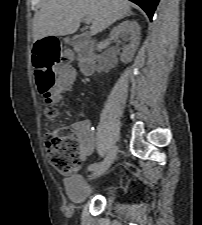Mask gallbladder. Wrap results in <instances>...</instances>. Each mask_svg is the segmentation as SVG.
<instances>
[{"label": "gallbladder", "instance_id": "gallbladder-1", "mask_svg": "<svg viewBox=\"0 0 202 225\" xmlns=\"http://www.w3.org/2000/svg\"><path fill=\"white\" fill-rule=\"evenodd\" d=\"M64 42L70 45H78L81 42L80 36H74L72 38L66 37L64 38Z\"/></svg>", "mask_w": 202, "mask_h": 225}]
</instances>
